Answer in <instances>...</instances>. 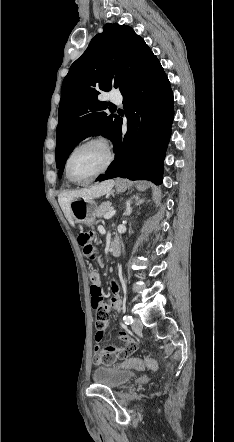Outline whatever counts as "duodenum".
Here are the masks:
<instances>
[{
    "instance_id": "1",
    "label": "duodenum",
    "mask_w": 234,
    "mask_h": 442,
    "mask_svg": "<svg viewBox=\"0 0 234 442\" xmlns=\"http://www.w3.org/2000/svg\"><path fill=\"white\" fill-rule=\"evenodd\" d=\"M108 252L114 256H117L120 254L121 252V244L118 240H114L108 249Z\"/></svg>"
}]
</instances>
